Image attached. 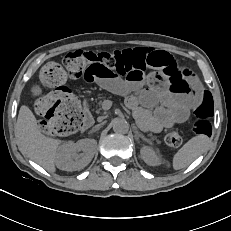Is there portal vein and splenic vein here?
Here are the masks:
<instances>
[{
  "label": "portal vein and splenic vein",
  "mask_w": 231,
  "mask_h": 231,
  "mask_svg": "<svg viewBox=\"0 0 231 231\" xmlns=\"http://www.w3.org/2000/svg\"><path fill=\"white\" fill-rule=\"evenodd\" d=\"M112 101L111 100H104L103 102H102V109L103 110H109L110 108H111V106H112Z\"/></svg>",
  "instance_id": "1"
}]
</instances>
